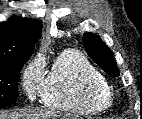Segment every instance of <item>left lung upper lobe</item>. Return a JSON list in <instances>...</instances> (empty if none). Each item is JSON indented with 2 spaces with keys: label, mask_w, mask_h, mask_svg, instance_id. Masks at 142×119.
Returning <instances> with one entry per match:
<instances>
[{
  "label": "left lung upper lobe",
  "mask_w": 142,
  "mask_h": 119,
  "mask_svg": "<svg viewBox=\"0 0 142 119\" xmlns=\"http://www.w3.org/2000/svg\"><path fill=\"white\" fill-rule=\"evenodd\" d=\"M83 43L87 52L98 66L112 77L119 76V69L113 53L98 35L91 32L84 33Z\"/></svg>",
  "instance_id": "obj_1"
}]
</instances>
